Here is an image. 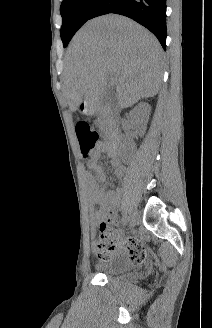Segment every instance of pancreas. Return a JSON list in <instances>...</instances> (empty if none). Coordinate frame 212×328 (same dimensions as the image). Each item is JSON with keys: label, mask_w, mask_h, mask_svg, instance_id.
<instances>
[{"label": "pancreas", "mask_w": 212, "mask_h": 328, "mask_svg": "<svg viewBox=\"0 0 212 328\" xmlns=\"http://www.w3.org/2000/svg\"><path fill=\"white\" fill-rule=\"evenodd\" d=\"M103 124H104V122L102 121V119H99L98 120V125H99L100 128H103Z\"/></svg>", "instance_id": "pancreas-1"}]
</instances>
